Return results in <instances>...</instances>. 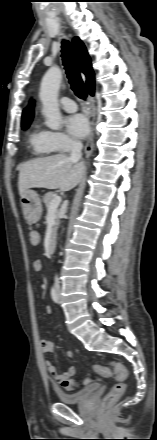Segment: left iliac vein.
<instances>
[{"instance_id": "obj_1", "label": "left iliac vein", "mask_w": 157, "mask_h": 440, "mask_svg": "<svg viewBox=\"0 0 157 440\" xmlns=\"http://www.w3.org/2000/svg\"><path fill=\"white\" fill-rule=\"evenodd\" d=\"M57 290H58V297H59V300H60V294H59L60 288L58 287Z\"/></svg>"}]
</instances>
